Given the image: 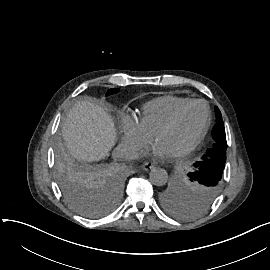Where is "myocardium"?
Segmentation results:
<instances>
[{"label":"myocardium","mask_w":270,"mask_h":270,"mask_svg":"<svg viewBox=\"0 0 270 270\" xmlns=\"http://www.w3.org/2000/svg\"><path fill=\"white\" fill-rule=\"evenodd\" d=\"M202 105L205 109V122L204 125L200 131V133L197 135V137L184 149H182L181 151L177 152L176 155L178 157H183L188 155L189 153H191L192 151H194L196 149V147L201 143V141L203 140L205 134L207 133V130L210 126V122H211V113H210V109L207 105V103L203 100H192L189 103H187L186 105H184L182 108H180L174 115H172L164 124H162L154 133V137L156 138V136L166 130H169L171 128H173L181 119V117L183 116V114L192 106L194 105Z\"/></svg>","instance_id":"f54148a6"}]
</instances>
